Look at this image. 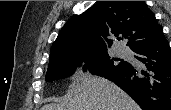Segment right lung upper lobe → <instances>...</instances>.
I'll use <instances>...</instances> for the list:
<instances>
[{"instance_id":"obj_1","label":"right lung upper lobe","mask_w":171,"mask_h":110,"mask_svg":"<svg viewBox=\"0 0 171 110\" xmlns=\"http://www.w3.org/2000/svg\"><path fill=\"white\" fill-rule=\"evenodd\" d=\"M110 35L127 38V46L134 50L159 40L164 33L144 1H98L63 26L49 62L62 55L107 50L113 43Z\"/></svg>"}]
</instances>
